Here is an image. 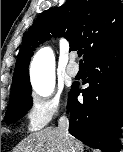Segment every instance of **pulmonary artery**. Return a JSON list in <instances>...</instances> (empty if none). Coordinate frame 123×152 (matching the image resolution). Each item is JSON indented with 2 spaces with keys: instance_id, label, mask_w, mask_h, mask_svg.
<instances>
[{
  "instance_id": "1",
  "label": "pulmonary artery",
  "mask_w": 123,
  "mask_h": 152,
  "mask_svg": "<svg viewBox=\"0 0 123 152\" xmlns=\"http://www.w3.org/2000/svg\"><path fill=\"white\" fill-rule=\"evenodd\" d=\"M66 72L69 76L75 77L79 73V66L75 61V55H72L71 60L66 68Z\"/></svg>"
}]
</instances>
